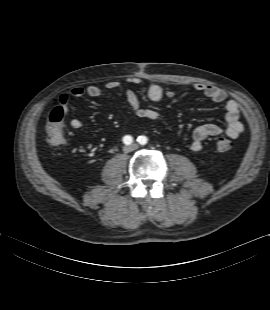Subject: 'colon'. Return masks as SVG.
Wrapping results in <instances>:
<instances>
[{
  "label": "colon",
  "instance_id": "colon-1",
  "mask_svg": "<svg viewBox=\"0 0 270 310\" xmlns=\"http://www.w3.org/2000/svg\"><path fill=\"white\" fill-rule=\"evenodd\" d=\"M63 121L64 111L56 106L51 111L46 125L47 142L51 147H57L65 140ZM214 146L219 152H227L231 149L232 143L226 137H218L214 140Z\"/></svg>",
  "mask_w": 270,
  "mask_h": 310
}]
</instances>
